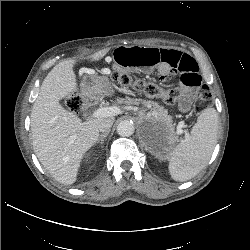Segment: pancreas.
<instances>
[{"label":"pancreas","mask_w":250,"mask_h":250,"mask_svg":"<svg viewBox=\"0 0 250 250\" xmlns=\"http://www.w3.org/2000/svg\"><path fill=\"white\" fill-rule=\"evenodd\" d=\"M117 102L119 104H125V105H138L140 103L144 104L146 107L151 109V113L149 116H152L153 118L160 120V121H167L169 124H171V118L168 115V112L161 106L158 105V103H155L153 101H146L141 99L133 100L129 97L119 98L117 99ZM166 139L169 143H174L177 141L176 136L174 135L173 128L170 127L169 132L166 134Z\"/></svg>","instance_id":"pancreas-1"}]
</instances>
